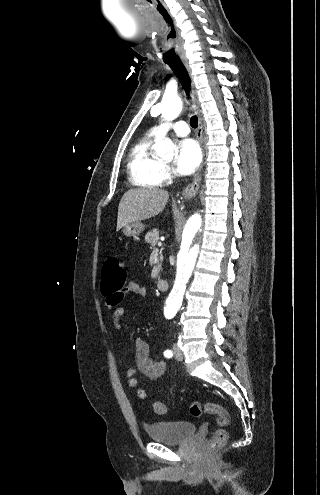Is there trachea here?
Here are the masks:
<instances>
[{"mask_svg": "<svg viewBox=\"0 0 320 495\" xmlns=\"http://www.w3.org/2000/svg\"><path fill=\"white\" fill-rule=\"evenodd\" d=\"M167 63L171 66V68L173 69V71L177 75V77L180 80L187 96H190L189 92H190L191 80H190V77L188 75V72H187L185 66L182 64V62L180 60H172V61H168ZM190 125L193 128H196L198 126L197 116L191 117Z\"/></svg>", "mask_w": 320, "mask_h": 495, "instance_id": "obj_1", "label": "trachea"}]
</instances>
